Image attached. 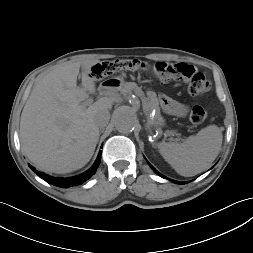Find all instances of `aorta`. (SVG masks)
<instances>
[{
    "label": "aorta",
    "instance_id": "1",
    "mask_svg": "<svg viewBox=\"0 0 253 253\" xmlns=\"http://www.w3.org/2000/svg\"><path fill=\"white\" fill-rule=\"evenodd\" d=\"M137 121L135 112L131 108L123 107L115 113V126L120 132L131 131Z\"/></svg>",
    "mask_w": 253,
    "mask_h": 253
}]
</instances>
